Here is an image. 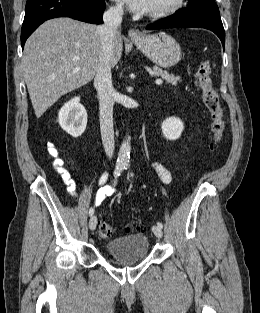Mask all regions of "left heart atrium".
Returning <instances> with one entry per match:
<instances>
[{"mask_svg":"<svg viewBox=\"0 0 260 313\" xmlns=\"http://www.w3.org/2000/svg\"><path fill=\"white\" fill-rule=\"evenodd\" d=\"M134 12H147L150 10L151 0H118Z\"/></svg>","mask_w":260,"mask_h":313,"instance_id":"obj_1","label":"left heart atrium"}]
</instances>
